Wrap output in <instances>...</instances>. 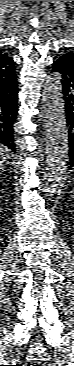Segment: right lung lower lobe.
Masks as SVG:
<instances>
[{
    "instance_id": "obj_1",
    "label": "right lung lower lobe",
    "mask_w": 74,
    "mask_h": 366,
    "mask_svg": "<svg viewBox=\"0 0 74 366\" xmlns=\"http://www.w3.org/2000/svg\"><path fill=\"white\" fill-rule=\"evenodd\" d=\"M16 78L8 84H0V145L7 146L13 152L16 151L13 124L18 111Z\"/></svg>"
}]
</instances>
